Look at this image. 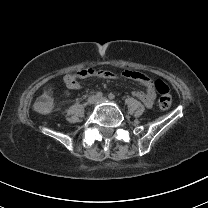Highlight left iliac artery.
I'll use <instances>...</instances> for the list:
<instances>
[{
	"instance_id": "left-iliac-artery-1",
	"label": "left iliac artery",
	"mask_w": 208,
	"mask_h": 208,
	"mask_svg": "<svg viewBox=\"0 0 208 208\" xmlns=\"http://www.w3.org/2000/svg\"><path fill=\"white\" fill-rule=\"evenodd\" d=\"M108 97L109 99H115V95L113 93H109Z\"/></svg>"
}]
</instances>
